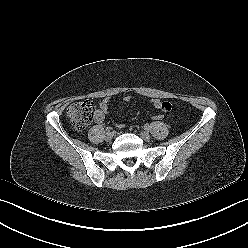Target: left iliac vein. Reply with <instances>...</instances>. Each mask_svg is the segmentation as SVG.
<instances>
[{
  "mask_svg": "<svg viewBox=\"0 0 248 248\" xmlns=\"http://www.w3.org/2000/svg\"><path fill=\"white\" fill-rule=\"evenodd\" d=\"M140 136L145 141H150V139H151V135L146 131L141 132Z\"/></svg>",
  "mask_w": 248,
  "mask_h": 248,
  "instance_id": "obj_1",
  "label": "left iliac vein"
}]
</instances>
